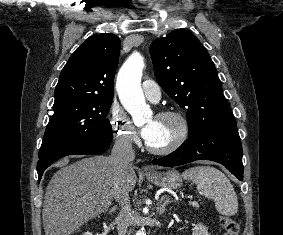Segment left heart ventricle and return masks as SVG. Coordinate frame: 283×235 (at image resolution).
Instances as JSON below:
<instances>
[{
	"label": "left heart ventricle",
	"instance_id": "left-heart-ventricle-1",
	"mask_svg": "<svg viewBox=\"0 0 283 235\" xmlns=\"http://www.w3.org/2000/svg\"><path fill=\"white\" fill-rule=\"evenodd\" d=\"M152 119H148L146 124L152 122ZM157 129L153 138L149 141V144L154 147H164L168 145L178 133V124L173 120H165L157 118Z\"/></svg>",
	"mask_w": 283,
	"mask_h": 235
}]
</instances>
